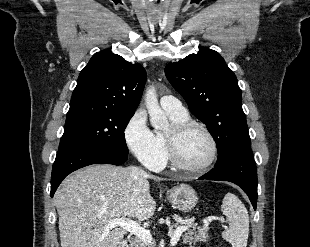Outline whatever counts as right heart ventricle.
Returning <instances> with one entry per match:
<instances>
[{"mask_svg":"<svg viewBox=\"0 0 310 247\" xmlns=\"http://www.w3.org/2000/svg\"><path fill=\"white\" fill-rule=\"evenodd\" d=\"M168 115L170 116L171 120L173 121V123L175 122H183V121H187L189 120V116L188 114L186 115H175V114H172L170 112H167ZM156 138L162 148V151H163V154H164V158H165V161L168 160L169 158V155H168V150H167V144H166V139H165V133L163 132H160V131H157L156 132Z\"/></svg>","mask_w":310,"mask_h":247,"instance_id":"right-heart-ventricle-1","label":"right heart ventricle"}]
</instances>
